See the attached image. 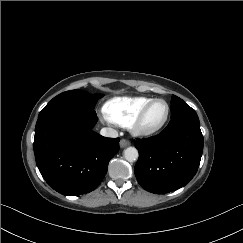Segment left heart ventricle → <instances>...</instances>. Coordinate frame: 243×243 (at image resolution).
Returning <instances> with one entry per match:
<instances>
[{
  "instance_id": "left-heart-ventricle-1",
  "label": "left heart ventricle",
  "mask_w": 243,
  "mask_h": 243,
  "mask_svg": "<svg viewBox=\"0 0 243 243\" xmlns=\"http://www.w3.org/2000/svg\"><path fill=\"white\" fill-rule=\"evenodd\" d=\"M166 115V106L163 102H158L152 106L145 117L144 124L147 127H154L160 124Z\"/></svg>"
}]
</instances>
